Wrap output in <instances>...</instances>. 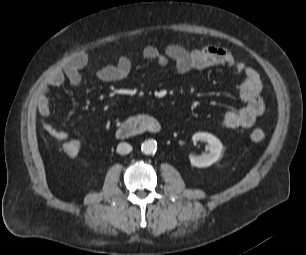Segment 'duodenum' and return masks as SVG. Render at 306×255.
I'll use <instances>...</instances> for the list:
<instances>
[{
  "mask_svg": "<svg viewBox=\"0 0 306 255\" xmlns=\"http://www.w3.org/2000/svg\"><path fill=\"white\" fill-rule=\"evenodd\" d=\"M161 125L159 121L150 116L134 117L123 123L116 130L118 139H128L143 133H159Z\"/></svg>",
  "mask_w": 306,
  "mask_h": 255,
  "instance_id": "obj_1",
  "label": "duodenum"
}]
</instances>
